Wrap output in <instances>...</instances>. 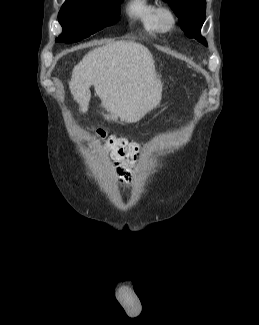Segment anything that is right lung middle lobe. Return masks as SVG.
Segmentation results:
<instances>
[{
	"label": "right lung middle lobe",
	"instance_id": "1",
	"mask_svg": "<svg viewBox=\"0 0 259 325\" xmlns=\"http://www.w3.org/2000/svg\"><path fill=\"white\" fill-rule=\"evenodd\" d=\"M122 0H66L58 20L62 34L55 40L74 43L112 25L119 16Z\"/></svg>",
	"mask_w": 259,
	"mask_h": 325
}]
</instances>
